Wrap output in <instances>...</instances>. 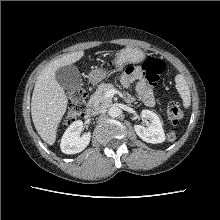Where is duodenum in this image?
I'll list each match as a JSON object with an SVG mask.
<instances>
[{
  "mask_svg": "<svg viewBox=\"0 0 220 220\" xmlns=\"http://www.w3.org/2000/svg\"><path fill=\"white\" fill-rule=\"evenodd\" d=\"M94 106L90 105L86 111V118H91L94 114Z\"/></svg>",
  "mask_w": 220,
  "mask_h": 220,
  "instance_id": "duodenum-1",
  "label": "duodenum"
}]
</instances>
